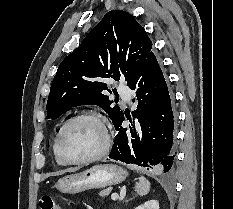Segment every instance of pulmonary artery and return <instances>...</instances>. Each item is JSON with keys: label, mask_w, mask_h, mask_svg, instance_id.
I'll list each match as a JSON object with an SVG mask.
<instances>
[{"label": "pulmonary artery", "mask_w": 233, "mask_h": 209, "mask_svg": "<svg viewBox=\"0 0 233 209\" xmlns=\"http://www.w3.org/2000/svg\"><path fill=\"white\" fill-rule=\"evenodd\" d=\"M118 92L120 93V95L125 98L127 101L130 100V96L132 94V91L130 88H128L126 85L120 83L118 85Z\"/></svg>", "instance_id": "obj_1"}]
</instances>
